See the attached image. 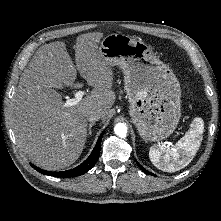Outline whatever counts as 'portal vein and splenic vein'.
Listing matches in <instances>:
<instances>
[{"mask_svg":"<svg viewBox=\"0 0 221 221\" xmlns=\"http://www.w3.org/2000/svg\"><path fill=\"white\" fill-rule=\"evenodd\" d=\"M84 95H85L84 91L76 92L75 93V98L66 100L65 103H64V107H71V106H74V105L78 104L82 100V97Z\"/></svg>","mask_w":221,"mask_h":221,"instance_id":"obj_1","label":"portal vein and splenic vein"}]
</instances>
